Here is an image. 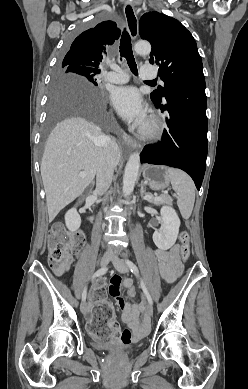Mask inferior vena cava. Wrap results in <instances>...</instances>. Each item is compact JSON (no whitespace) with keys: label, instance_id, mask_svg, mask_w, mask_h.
<instances>
[{"label":"inferior vena cava","instance_id":"1","mask_svg":"<svg viewBox=\"0 0 248 389\" xmlns=\"http://www.w3.org/2000/svg\"><path fill=\"white\" fill-rule=\"evenodd\" d=\"M119 155V147L117 143L108 138L104 145L97 173H96V189L95 193L103 195L112 183L114 169L117 165V157ZM109 252H113L112 248H108Z\"/></svg>","mask_w":248,"mask_h":389}]
</instances>
